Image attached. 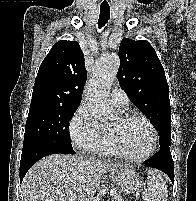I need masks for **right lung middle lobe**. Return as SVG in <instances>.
Masks as SVG:
<instances>
[{
  "mask_svg": "<svg viewBox=\"0 0 196 201\" xmlns=\"http://www.w3.org/2000/svg\"><path fill=\"white\" fill-rule=\"evenodd\" d=\"M78 107L79 105L31 103L25 126L23 150L37 144H55L72 148L69 121Z\"/></svg>",
  "mask_w": 196,
  "mask_h": 201,
  "instance_id": "1",
  "label": "right lung middle lobe"
}]
</instances>
